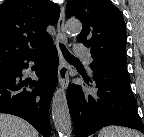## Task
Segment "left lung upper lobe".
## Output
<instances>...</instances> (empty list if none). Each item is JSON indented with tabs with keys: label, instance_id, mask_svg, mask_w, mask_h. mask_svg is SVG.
I'll return each mask as SVG.
<instances>
[{
	"label": "left lung upper lobe",
	"instance_id": "5c2ea615",
	"mask_svg": "<svg viewBox=\"0 0 144 137\" xmlns=\"http://www.w3.org/2000/svg\"><path fill=\"white\" fill-rule=\"evenodd\" d=\"M66 16L80 19L77 41L91 48L93 65L129 76L126 69V26L110 0H69Z\"/></svg>",
	"mask_w": 144,
	"mask_h": 137
}]
</instances>
